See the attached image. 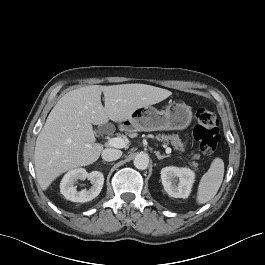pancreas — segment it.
I'll list each match as a JSON object with an SVG mask.
<instances>
[{
    "label": "pancreas",
    "mask_w": 265,
    "mask_h": 265,
    "mask_svg": "<svg viewBox=\"0 0 265 265\" xmlns=\"http://www.w3.org/2000/svg\"><path fill=\"white\" fill-rule=\"evenodd\" d=\"M156 139L158 141H161V142H164L165 144H168V142L171 143V145L173 146V148L175 150H179L181 152L185 151V145L182 143L181 139L179 138L178 135H157L156 136ZM192 160H195V159H199L200 158V155L199 154H193L192 153ZM190 166L195 170L197 171L198 170V163L195 162V161H192L189 163Z\"/></svg>",
    "instance_id": "cf45deb5"
}]
</instances>
